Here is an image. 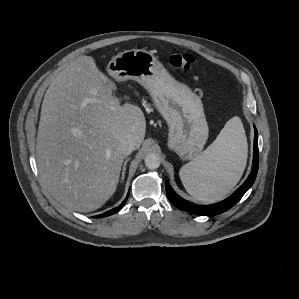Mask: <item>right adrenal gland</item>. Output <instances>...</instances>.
<instances>
[{
    "label": "right adrenal gland",
    "instance_id": "right-adrenal-gland-1",
    "mask_svg": "<svg viewBox=\"0 0 299 299\" xmlns=\"http://www.w3.org/2000/svg\"><path fill=\"white\" fill-rule=\"evenodd\" d=\"M129 160H130V158H128V159H126V160L124 161L123 169H122V177H121V180H124L125 172H126V166H127V163H128Z\"/></svg>",
    "mask_w": 299,
    "mask_h": 299
}]
</instances>
